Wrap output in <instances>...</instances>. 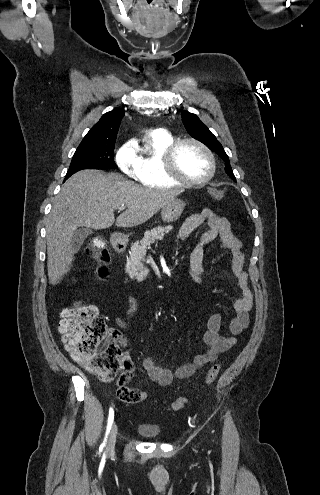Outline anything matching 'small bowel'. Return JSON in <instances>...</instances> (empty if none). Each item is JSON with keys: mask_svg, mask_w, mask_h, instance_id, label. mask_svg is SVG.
<instances>
[{"mask_svg": "<svg viewBox=\"0 0 320 495\" xmlns=\"http://www.w3.org/2000/svg\"><path fill=\"white\" fill-rule=\"evenodd\" d=\"M205 226L207 230L202 234L199 243L190 255L187 272L196 282H202L204 273L203 257L204 248L215 239H219L222 249L228 250L231 254V271L239 290V295L234 302L235 316L228 325V334H221L222 316L220 313L213 314L207 324L203 334V342L206 350L194 357L193 361L183 364L175 370L167 369L156 364L150 353H147L142 361V366L148 377L160 385H170L175 379H185L191 377L199 368L209 364L217 357L236 344V336L241 334L248 326V313L252 307L253 296L248 286V276L244 269V254L242 243L233 233L229 220L218 216L211 209L190 215L182 224L179 237L184 240L199 227ZM129 310L127 319L115 317V322L120 327H126L138 310V301L134 296H128ZM122 374L129 381L132 374V367L126 366Z\"/></svg>", "mask_w": 320, "mask_h": 495, "instance_id": "obj_1", "label": "small bowel"}]
</instances>
